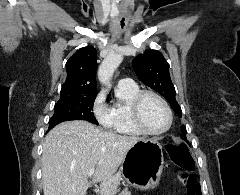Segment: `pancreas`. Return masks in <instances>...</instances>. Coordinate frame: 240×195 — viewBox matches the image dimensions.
Wrapping results in <instances>:
<instances>
[{
    "mask_svg": "<svg viewBox=\"0 0 240 195\" xmlns=\"http://www.w3.org/2000/svg\"><path fill=\"white\" fill-rule=\"evenodd\" d=\"M113 193H115V189H113L111 195H113ZM120 195H131V191H129L128 187H125L124 191H122Z\"/></svg>",
    "mask_w": 240,
    "mask_h": 195,
    "instance_id": "obj_1",
    "label": "pancreas"
}]
</instances>
